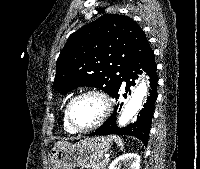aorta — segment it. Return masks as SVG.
Masks as SVG:
<instances>
[{"instance_id": "aorta-1", "label": "aorta", "mask_w": 200, "mask_h": 169, "mask_svg": "<svg viewBox=\"0 0 200 169\" xmlns=\"http://www.w3.org/2000/svg\"><path fill=\"white\" fill-rule=\"evenodd\" d=\"M148 92V82L142 79L136 86L132 97L124 106L121 116L118 119L119 126H125L133 118V116L141 109L143 100Z\"/></svg>"}]
</instances>
